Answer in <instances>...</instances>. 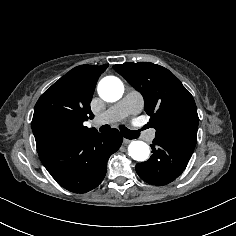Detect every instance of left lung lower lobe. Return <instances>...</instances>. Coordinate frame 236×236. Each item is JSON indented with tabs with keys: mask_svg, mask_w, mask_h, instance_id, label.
<instances>
[{
	"mask_svg": "<svg viewBox=\"0 0 236 236\" xmlns=\"http://www.w3.org/2000/svg\"><path fill=\"white\" fill-rule=\"evenodd\" d=\"M150 159L136 165V172L145 182L166 185L174 181L186 168L194 149L182 147L164 139L153 140Z\"/></svg>",
	"mask_w": 236,
	"mask_h": 236,
	"instance_id": "0a47b994",
	"label": "left lung lower lobe"
}]
</instances>
